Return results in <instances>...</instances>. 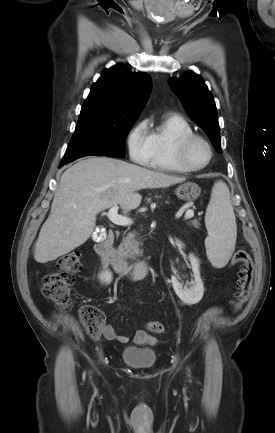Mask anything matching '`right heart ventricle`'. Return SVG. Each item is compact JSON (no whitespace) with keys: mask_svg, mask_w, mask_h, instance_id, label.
<instances>
[{"mask_svg":"<svg viewBox=\"0 0 275 433\" xmlns=\"http://www.w3.org/2000/svg\"><path fill=\"white\" fill-rule=\"evenodd\" d=\"M150 143V167L169 172H187L182 169L175 157L177 142L184 136L194 133L190 123L181 115H163L148 129Z\"/></svg>","mask_w":275,"mask_h":433,"instance_id":"e07e8e85","label":"right heart ventricle"}]
</instances>
